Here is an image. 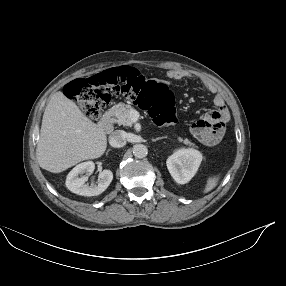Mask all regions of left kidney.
I'll use <instances>...</instances> for the list:
<instances>
[{
	"instance_id": "1",
	"label": "left kidney",
	"mask_w": 286,
	"mask_h": 286,
	"mask_svg": "<svg viewBox=\"0 0 286 286\" xmlns=\"http://www.w3.org/2000/svg\"><path fill=\"white\" fill-rule=\"evenodd\" d=\"M202 161V154L196 149H179L168 157L169 173L179 184L189 182L196 174Z\"/></svg>"
}]
</instances>
